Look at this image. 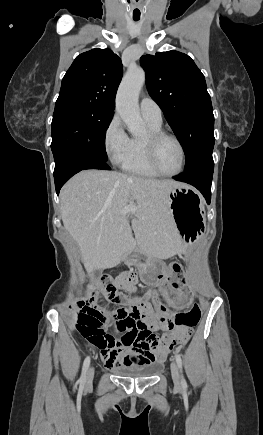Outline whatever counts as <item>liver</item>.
Here are the masks:
<instances>
[{
	"mask_svg": "<svg viewBox=\"0 0 263 435\" xmlns=\"http://www.w3.org/2000/svg\"><path fill=\"white\" fill-rule=\"evenodd\" d=\"M183 184L115 171L85 170L60 192L63 225L80 248L87 272L112 268L137 247L158 259L182 251L168 204L169 192ZM135 205L132 229L120 213Z\"/></svg>",
	"mask_w": 263,
	"mask_h": 435,
	"instance_id": "1",
	"label": "liver"
}]
</instances>
